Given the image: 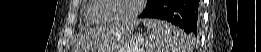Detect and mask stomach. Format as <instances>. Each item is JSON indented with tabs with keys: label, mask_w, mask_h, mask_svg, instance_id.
<instances>
[{
	"label": "stomach",
	"mask_w": 261,
	"mask_h": 52,
	"mask_svg": "<svg viewBox=\"0 0 261 52\" xmlns=\"http://www.w3.org/2000/svg\"><path fill=\"white\" fill-rule=\"evenodd\" d=\"M145 44L144 37L142 35H134L127 40L121 42L117 47L112 50L114 52H143Z\"/></svg>",
	"instance_id": "stomach-1"
}]
</instances>
